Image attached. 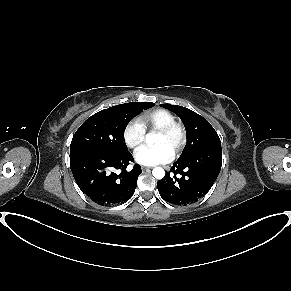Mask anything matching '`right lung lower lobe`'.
Here are the masks:
<instances>
[{"mask_svg": "<svg viewBox=\"0 0 291 291\" xmlns=\"http://www.w3.org/2000/svg\"><path fill=\"white\" fill-rule=\"evenodd\" d=\"M130 161H133V156L128 151L70 155L71 171L79 188L94 202L106 206L123 203L134 194L142 170L140 165H135L128 171ZM116 169H121V173L116 174Z\"/></svg>", "mask_w": 291, "mask_h": 291, "instance_id": "1", "label": "right lung lower lobe"}]
</instances>
